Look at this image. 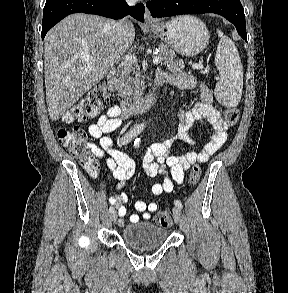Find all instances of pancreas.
<instances>
[{"label": "pancreas", "instance_id": "obj_1", "mask_svg": "<svg viewBox=\"0 0 288 293\" xmlns=\"http://www.w3.org/2000/svg\"><path fill=\"white\" fill-rule=\"evenodd\" d=\"M159 56L163 59V65L173 73H180L184 69L183 62L176 59L174 51L165 44L159 45ZM196 65V64H195ZM197 65H202L201 63ZM133 72L135 77H131L130 73ZM141 75L138 66L132 62L121 63L118 67L116 89L119 95L125 99H135L143 92Z\"/></svg>", "mask_w": 288, "mask_h": 293}]
</instances>
